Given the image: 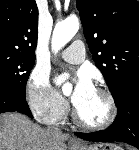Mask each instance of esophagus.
Wrapping results in <instances>:
<instances>
[{
    "instance_id": "obj_1",
    "label": "esophagus",
    "mask_w": 139,
    "mask_h": 150,
    "mask_svg": "<svg viewBox=\"0 0 139 150\" xmlns=\"http://www.w3.org/2000/svg\"><path fill=\"white\" fill-rule=\"evenodd\" d=\"M70 143L75 144V145H80L81 144V142L78 141L76 138H71Z\"/></svg>"
}]
</instances>
